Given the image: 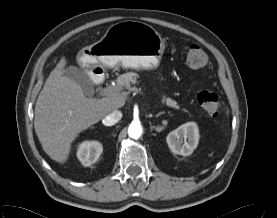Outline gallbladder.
Instances as JSON below:
<instances>
[{"label":"gallbladder","mask_w":277,"mask_h":218,"mask_svg":"<svg viewBox=\"0 0 277 218\" xmlns=\"http://www.w3.org/2000/svg\"><path fill=\"white\" fill-rule=\"evenodd\" d=\"M63 76L78 83L85 95H90L93 90V82L90 77L80 68L69 66L63 70Z\"/></svg>","instance_id":"bac80fb5"}]
</instances>
